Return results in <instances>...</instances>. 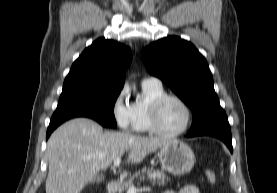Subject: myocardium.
Listing matches in <instances>:
<instances>
[{"label":"myocardium","mask_w":277,"mask_h":193,"mask_svg":"<svg viewBox=\"0 0 277 193\" xmlns=\"http://www.w3.org/2000/svg\"><path fill=\"white\" fill-rule=\"evenodd\" d=\"M168 99L176 100L186 111V122L184 126L174 132L165 131L160 125V108L162 104ZM148 115L151 132L167 138H173L182 135L189 129L192 122V111L188 103L180 96L172 93H164L156 97L149 105Z\"/></svg>","instance_id":"f54148a6"}]
</instances>
